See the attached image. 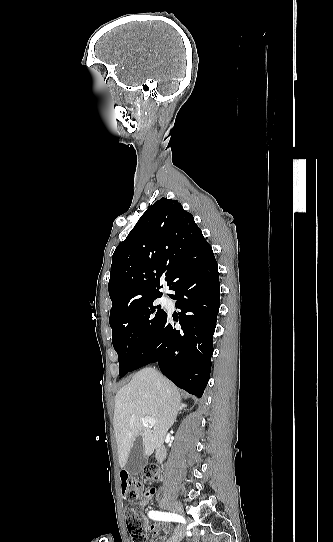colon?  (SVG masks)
Here are the masks:
<instances>
[{"label":"colon","instance_id":"5ec220e1","mask_svg":"<svg viewBox=\"0 0 333 542\" xmlns=\"http://www.w3.org/2000/svg\"><path fill=\"white\" fill-rule=\"evenodd\" d=\"M159 469L157 465H147L140 476L129 475V486L125 489L124 498L129 501H144L146 486L145 482L153 481L157 478ZM124 509L127 514L128 530L132 536L133 542H147V537L143 532L141 511L137 502H126Z\"/></svg>","mask_w":333,"mask_h":542}]
</instances>
